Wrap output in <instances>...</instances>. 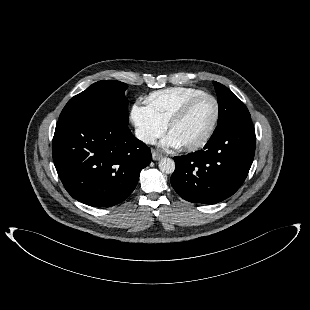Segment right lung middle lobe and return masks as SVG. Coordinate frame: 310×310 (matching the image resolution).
<instances>
[{
    "label": "right lung middle lobe",
    "instance_id": "right-lung-middle-lobe-1",
    "mask_svg": "<svg viewBox=\"0 0 310 310\" xmlns=\"http://www.w3.org/2000/svg\"><path fill=\"white\" fill-rule=\"evenodd\" d=\"M126 89L127 84L120 81H98L71 98L63 108L59 119L75 115H90L105 117L127 125L128 100L124 94Z\"/></svg>",
    "mask_w": 310,
    "mask_h": 310
}]
</instances>
